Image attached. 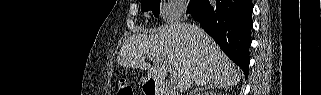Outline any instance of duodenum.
<instances>
[{"label":"duodenum","mask_w":321,"mask_h":95,"mask_svg":"<svg viewBox=\"0 0 321 95\" xmlns=\"http://www.w3.org/2000/svg\"><path fill=\"white\" fill-rule=\"evenodd\" d=\"M152 83H153V81H152V80H150L149 84H152ZM156 94H161V93H156Z\"/></svg>","instance_id":"duodenum-1"}]
</instances>
